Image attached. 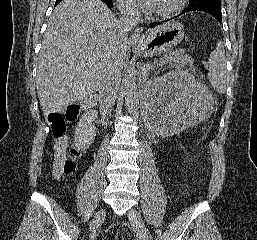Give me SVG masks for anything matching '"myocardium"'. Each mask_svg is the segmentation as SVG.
Returning <instances> with one entry per match:
<instances>
[{
	"label": "myocardium",
	"instance_id": "1",
	"mask_svg": "<svg viewBox=\"0 0 257 240\" xmlns=\"http://www.w3.org/2000/svg\"><path fill=\"white\" fill-rule=\"evenodd\" d=\"M184 2L185 0H173L172 4L169 7L161 10H156L155 16L160 18L170 17L182 9Z\"/></svg>",
	"mask_w": 257,
	"mask_h": 240
}]
</instances>
